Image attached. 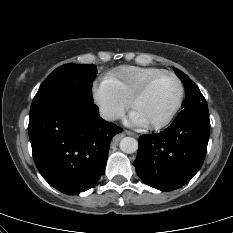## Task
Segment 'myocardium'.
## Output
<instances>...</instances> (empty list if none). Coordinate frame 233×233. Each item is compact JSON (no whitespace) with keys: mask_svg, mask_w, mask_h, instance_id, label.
I'll use <instances>...</instances> for the list:
<instances>
[{"mask_svg":"<svg viewBox=\"0 0 233 233\" xmlns=\"http://www.w3.org/2000/svg\"><path fill=\"white\" fill-rule=\"evenodd\" d=\"M171 77L173 78L179 88V94H178V98L177 101L175 103V105L173 106V108L171 109V111L168 113V115L162 119L161 121L158 122H153V123H147L145 126L148 128H153V129H160L165 127L166 125H168L176 116V114L178 113V111L180 110L182 103H183V99H184V85L181 81V79L173 72L170 71H163L155 76H153L152 78H150L149 80H147L130 98V100L128 101V108L130 111H132L134 105L149 91V89L152 87V85L159 80L162 77Z\"/></svg>","mask_w":233,"mask_h":233,"instance_id":"obj_1","label":"myocardium"}]
</instances>
